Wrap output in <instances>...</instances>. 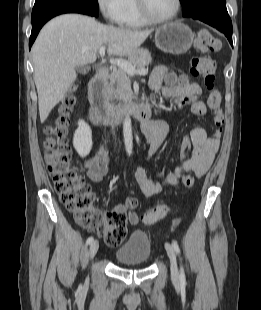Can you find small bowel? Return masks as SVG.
<instances>
[{
	"instance_id": "small-bowel-1",
	"label": "small bowel",
	"mask_w": 261,
	"mask_h": 310,
	"mask_svg": "<svg viewBox=\"0 0 261 310\" xmlns=\"http://www.w3.org/2000/svg\"><path fill=\"white\" fill-rule=\"evenodd\" d=\"M167 72L168 69L164 66L156 68L151 78L150 88L163 97L173 100L179 107L190 105L195 114H205L207 106L200 99L202 94L200 86L186 79H181L176 84L165 85L164 78ZM141 129L146 137L148 158H150L163 144L169 128L163 121L150 120L146 126L142 125ZM185 140H188L192 146L189 158L169 172L162 181L152 180L141 167L136 170V184L143 195L150 197L159 193L164 187H175L186 173L201 176L207 171L218 151L219 138L209 137L202 127L195 126L190 136L184 137L183 141ZM108 163V154L104 148H101L84 161V168L91 180L100 181L108 173ZM137 205L136 198H128L125 202L118 203L111 211L105 212L104 216L109 212L124 213L131 225H137L139 218L134 211Z\"/></svg>"
}]
</instances>
